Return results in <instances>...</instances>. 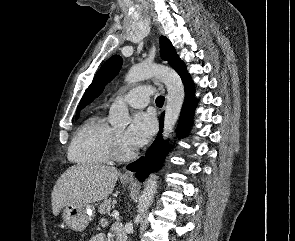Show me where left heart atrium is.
I'll return each instance as SVG.
<instances>
[{"label": "left heart atrium", "mask_w": 295, "mask_h": 241, "mask_svg": "<svg viewBox=\"0 0 295 241\" xmlns=\"http://www.w3.org/2000/svg\"><path fill=\"white\" fill-rule=\"evenodd\" d=\"M155 130V120L149 113L136 114L130 126L124 133L125 144L131 149L144 146L151 138Z\"/></svg>", "instance_id": "obj_1"}]
</instances>
